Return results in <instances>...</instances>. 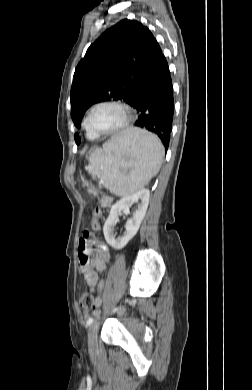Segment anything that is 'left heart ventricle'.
Returning <instances> with one entry per match:
<instances>
[{
  "mask_svg": "<svg viewBox=\"0 0 252 390\" xmlns=\"http://www.w3.org/2000/svg\"><path fill=\"white\" fill-rule=\"evenodd\" d=\"M123 119L122 112L114 106L98 107L92 115L91 126L99 131H106L117 126Z\"/></svg>",
  "mask_w": 252,
  "mask_h": 390,
  "instance_id": "left-heart-ventricle-1",
  "label": "left heart ventricle"
}]
</instances>
